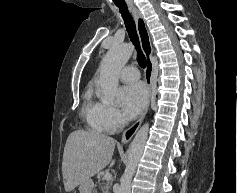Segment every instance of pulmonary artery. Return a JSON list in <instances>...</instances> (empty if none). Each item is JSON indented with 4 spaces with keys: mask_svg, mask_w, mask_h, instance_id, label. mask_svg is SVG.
I'll list each match as a JSON object with an SVG mask.
<instances>
[{
    "mask_svg": "<svg viewBox=\"0 0 237 193\" xmlns=\"http://www.w3.org/2000/svg\"><path fill=\"white\" fill-rule=\"evenodd\" d=\"M119 77H120L121 81L129 83V84H133L134 82H136L139 79L140 73L136 67L126 66L119 73Z\"/></svg>",
    "mask_w": 237,
    "mask_h": 193,
    "instance_id": "1",
    "label": "pulmonary artery"
}]
</instances>
